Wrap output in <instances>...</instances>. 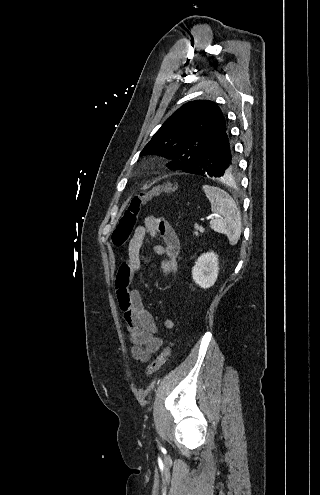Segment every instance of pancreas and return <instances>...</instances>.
Masks as SVG:
<instances>
[{
    "label": "pancreas",
    "mask_w": 320,
    "mask_h": 495,
    "mask_svg": "<svg viewBox=\"0 0 320 495\" xmlns=\"http://www.w3.org/2000/svg\"><path fill=\"white\" fill-rule=\"evenodd\" d=\"M194 228L197 230L196 232H194V234H195L196 236L198 235V230H199L200 232H202V233H203V232H204V230H205L202 226H199L198 224H195Z\"/></svg>",
    "instance_id": "cf45deb5"
}]
</instances>
